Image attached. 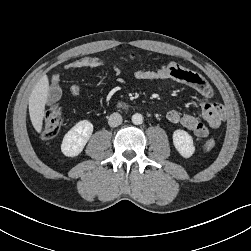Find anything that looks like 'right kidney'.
Here are the masks:
<instances>
[{"instance_id": "1", "label": "right kidney", "mask_w": 251, "mask_h": 251, "mask_svg": "<svg viewBox=\"0 0 251 251\" xmlns=\"http://www.w3.org/2000/svg\"><path fill=\"white\" fill-rule=\"evenodd\" d=\"M93 132V124L88 120L76 123L64 136L61 151L67 157L78 156Z\"/></svg>"}]
</instances>
